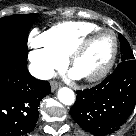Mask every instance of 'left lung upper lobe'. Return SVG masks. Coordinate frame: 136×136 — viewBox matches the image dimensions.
Instances as JSON below:
<instances>
[{"instance_id": "5c2ea615", "label": "left lung upper lobe", "mask_w": 136, "mask_h": 136, "mask_svg": "<svg viewBox=\"0 0 136 136\" xmlns=\"http://www.w3.org/2000/svg\"><path fill=\"white\" fill-rule=\"evenodd\" d=\"M119 40H120L121 54H122L121 60L122 61L134 60L133 52L127 40L122 35L119 36Z\"/></svg>"}]
</instances>
